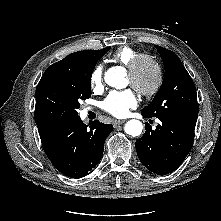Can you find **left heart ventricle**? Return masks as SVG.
Wrapping results in <instances>:
<instances>
[{
  "mask_svg": "<svg viewBox=\"0 0 221 221\" xmlns=\"http://www.w3.org/2000/svg\"><path fill=\"white\" fill-rule=\"evenodd\" d=\"M128 83L131 82V78L128 75ZM155 80V72L153 67L148 63H143L137 73L135 82L141 88H149Z\"/></svg>",
  "mask_w": 221,
  "mask_h": 221,
  "instance_id": "left-heart-ventricle-1",
  "label": "left heart ventricle"
}]
</instances>
